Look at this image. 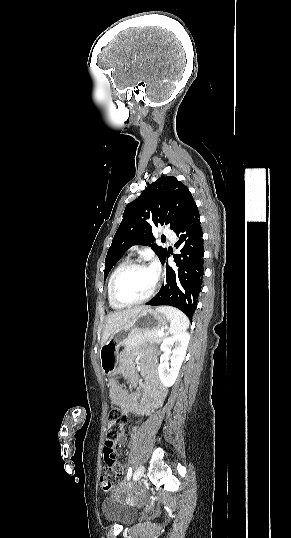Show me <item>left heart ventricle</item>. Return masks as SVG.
<instances>
[{
  "label": "left heart ventricle",
  "mask_w": 291,
  "mask_h": 538,
  "mask_svg": "<svg viewBox=\"0 0 291 538\" xmlns=\"http://www.w3.org/2000/svg\"><path fill=\"white\" fill-rule=\"evenodd\" d=\"M155 281L151 269H135L126 273L117 286L120 299L125 301L137 300L149 293Z\"/></svg>",
  "instance_id": "obj_1"
}]
</instances>
